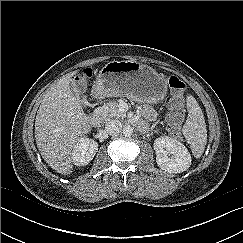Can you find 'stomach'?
Instances as JSON below:
<instances>
[{"mask_svg":"<svg viewBox=\"0 0 243 243\" xmlns=\"http://www.w3.org/2000/svg\"><path fill=\"white\" fill-rule=\"evenodd\" d=\"M95 91L105 97H127L156 103L166 96L167 81L150 66L136 61H110L98 73Z\"/></svg>","mask_w":243,"mask_h":243,"instance_id":"1","label":"stomach"}]
</instances>
